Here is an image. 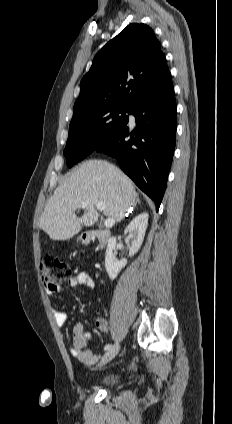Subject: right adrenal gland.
<instances>
[{
	"label": "right adrenal gland",
	"mask_w": 232,
	"mask_h": 424,
	"mask_svg": "<svg viewBox=\"0 0 232 424\" xmlns=\"http://www.w3.org/2000/svg\"><path fill=\"white\" fill-rule=\"evenodd\" d=\"M136 202H137L138 204H140V200H139L138 198H137ZM131 214H132V212H131Z\"/></svg>",
	"instance_id": "2a0ac1e0"
}]
</instances>
